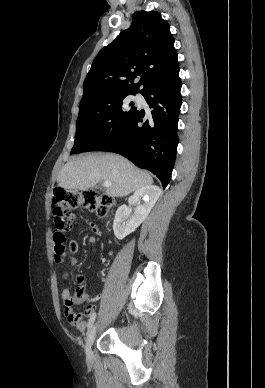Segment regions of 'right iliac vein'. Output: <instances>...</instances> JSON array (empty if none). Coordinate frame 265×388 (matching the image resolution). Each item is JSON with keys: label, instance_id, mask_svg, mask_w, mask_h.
<instances>
[{"label": "right iliac vein", "instance_id": "right-iliac-vein-1", "mask_svg": "<svg viewBox=\"0 0 265 388\" xmlns=\"http://www.w3.org/2000/svg\"><path fill=\"white\" fill-rule=\"evenodd\" d=\"M97 327L94 325L91 330L88 332L85 343V353L87 360L91 361L93 359L92 345L96 337Z\"/></svg>", "mask_w": 265, "mask_h": 388}]
</instances>
